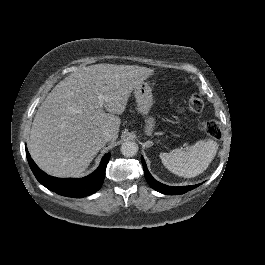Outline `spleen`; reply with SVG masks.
<instances>
[{"mask_svg":"<svg viewBox=\"0 0 265 265\" xmlns=\"http://www.w3.org/2000/svg\"><path fill=\"white\" fill-rule=\"evenodd\" d=\"M217 149V143L213 140H200L186 151L175 149L170 153H160V158L172 173L184 178H193L207 169Z\"/></svg>","mask_w":265,"mask_h":265,"instance_id":"spleen-1","label":"spleen"}]
</instances>
